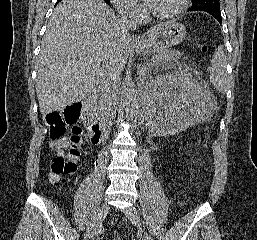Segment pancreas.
Instances as JSON below:
<instances>
[{
	"mask_svg": "<svg viewBox=\"0 0 257 240\" xmlns=\"http://www.w3.org/2000/svg\"><path fill=\"white\" fill-rule=\"evenodd\" d=\"M182 57H183V53L175 50L157 54L149 62H147L142 66L141 70L143 71V74H141V72L139 71L138 75L143 79H145L149 71L153 69H157L160 65H165L171 62H178ZM96 109L97 110L102 109L101 101L98 102Z\"/></svg>",
	"mask_w": 257,
	"mask_h": 240,
	"instance_id": "pancreas-1",
	"label": "pancreas"
}]
</instances>
